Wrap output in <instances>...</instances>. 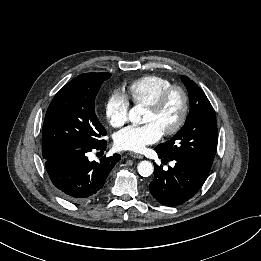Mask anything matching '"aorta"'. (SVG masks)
I'll return each mask as SVG.
<instances>
[{
  "instance_id": "aorta-1",
  "label": "aorta",
  "mask_w": 261,
  "mask_h": 261,
  "mask_svg": "<svg viewBox=\"0 0 261 261\" xmlns=\"http://www.w3.org/2000/svg\"><path fill=\"white\" fill-rule=\"evenodd\" d=\"M142 114L143 109L140 106H135L129 111L128 117L132 123L138 124L141 122ZM137 170L141 176L148 177L153 173L154 167L151 162L144 160L138 163Z\"/></svg>"
}]
</instances>
